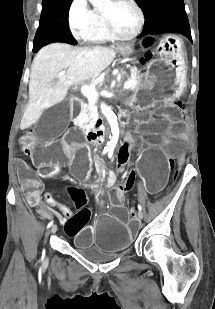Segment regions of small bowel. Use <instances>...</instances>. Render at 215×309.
<instances>
[{"label":"small bowel","mask_w":215,"mask_h":309,"mask_svg":"<svg viewBox=\"0 0 215 309\" xmlns=\"http://www.w3.org/2000/svg\"><path fill=\"white\" fill-rule=\"evenodd\" d=\"M132 143H133V138H130L129 141H127L126 143L123 144V150H127L132 145ZM31 186L34 188V190L29 193V199H30V201L33 205H37L38 204V196H39V188H40L41 184L38 181H34L33 183H31ZM129 186H130L129 183H127V188ZM124 192H125L124 186L123 187L114 186L111 189V193H112V195L114 196V198L117 202L122 201ZM68 210L69 209L65 206L60 207V211L62 212V214L66 218H69V216H67Z\"/></svg>","instance_id":"1"}]
</instances>
